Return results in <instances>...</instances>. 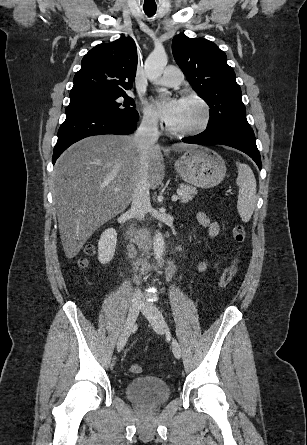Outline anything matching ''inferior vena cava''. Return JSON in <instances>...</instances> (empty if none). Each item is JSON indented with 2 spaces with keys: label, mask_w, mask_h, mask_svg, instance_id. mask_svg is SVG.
<instances>
[{
  "label": "inferior vena cava",
  "mask_w": 307,
  "mask_h": 445,
  "mask_svg": "<svg viewBox=\"0 0 307 445\" xmlns=\"http://www.w3.org/2000/svg\"><path fill=\"white\" fill-rule=\"evenodd\" d=\"M160 132L158 130L157 118L153 116H143L140 126H138L134 138L133 144L137 146L140 152V166L139 174L136 180V186L132 194L131 212L135 214L136 218H144L146 212L151 208L150 204V192L148 182V148L151 144H155L158 140ZM142 293L140 289H135L132 301L135 304L140 303Z\"/></svg>",
  "instance_id": "obj_1"
}]
</instances>
